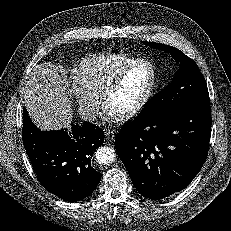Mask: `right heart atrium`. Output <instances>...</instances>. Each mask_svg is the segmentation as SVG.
<instances>
[{
	"label": "right heart atrium",
	"instance_id": "obj_1",
	"mask_svg": "<svg viewBox=\"0 0 231 231\" xmlns=\"http://www.w3.org/2000/svg\"><path fill=\"white\" fill-rule=\"evenodd\" d=\"M68 91L74 97L79 113L84 119L90 120L96 112L97 101L89 95L75 80H68Z\"/></svg>",
	"mask_w": 231,
	"mask_h": 231
}]
</instances>
